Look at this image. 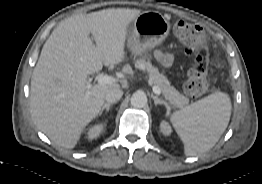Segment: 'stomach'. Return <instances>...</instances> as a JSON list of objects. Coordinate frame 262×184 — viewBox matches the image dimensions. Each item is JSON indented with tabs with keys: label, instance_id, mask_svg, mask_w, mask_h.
Wrapping results in <instances>:
<instances>
[{
	"label": "stomach",
	"instance_id": "1",
	"mask_svg": "<svg viewBox=\"0 0 262 184\" xmlns=\"http://www.w3.org/2000/svg\"><path fill=\"white\" fill-rule=\"evenodd\" d=\"M170 23L156 11L140 13L130 26L127 46L134 55H142L159 46L168 37Z\"/></svg>",
	"mask_w": 262,
	"mask_h": 184
}]
</instances>
